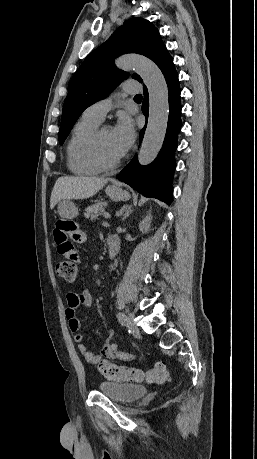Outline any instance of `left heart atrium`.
<instances>
[{"instance_id": "39dd6f15", "label": "left heart atrium", "mask_w": 257, "mask_h": 459, "mask_svg": "<svg viewBox=\"0 0 257 459\" xmlns=\"http://www.w3.org/2000/svg\"><path fill=\"white\" fill-rule=\"evenodd\" d=\"M112 135L119 155L123 156L135 140L133 120L127 115H122L112 129Z\"/></svg>"}]
</instances>
